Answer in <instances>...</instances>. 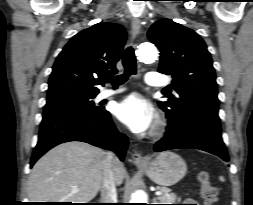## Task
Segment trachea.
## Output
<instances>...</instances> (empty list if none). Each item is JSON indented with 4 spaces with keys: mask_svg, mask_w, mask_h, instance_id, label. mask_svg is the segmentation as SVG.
Masks as SVG:
<instances>
[{
    "mask_svg": "<svg viewBox=\"0 0 253 205\" xmlns=\"http://www.w3.org/2000/svg\"><path fill=\"white\" fill-rule=\"evenodd\" d=\"M124 74L119 76L108 75L103 78L106 83H111L113 87H118L128 80L131 75L137 73L136 57L132 47H128L122 54Z\"/></svg>",
    "mask_w": 253,
    "mask_h": 205,
    "instance_id": "obj_1",
    "label": "trachea"
}]
</instances>
